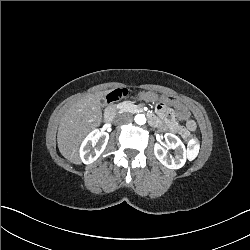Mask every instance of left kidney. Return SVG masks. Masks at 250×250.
I'll return each instance as SVG.
<instances>
[{
	"label": "left kidney",
	"mask_w": 250,
	"mask_h": 250,
	"mask_svg": "<svg viewBox=\"0 0 250 250\" xmlns=\"http://www.w3.org/2000/svg\"><path fill=\"white\" fill-rule=\"evenodd\" d=\"M168 146L176 151L175 157H168L166 150L158 143L154 146V154L156 158L169 169H180L186 162V149L179 137L172 133L164 135Z\"/></svg>",
	"instance_id": "1"
}]
</instances>
